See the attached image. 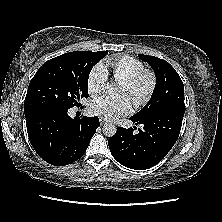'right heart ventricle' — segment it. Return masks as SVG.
Wrapping results in <instances>:
<instances>
[{
    "instance_id": "e07e8e85",
    "label": "right heart ventricle",
    "mask_w": 222,
    "mask_h": 222,
    "mask_svg": "<svg viewBox=\"0 0 222 222\" xmlns=\"http://www.w3.org/2000/svg\"><path fill=\"white\" fill-rule=\"evenodd\" d=\"M105 70H110L115 80L124 82L144 70L143 63L131 56H116L109 58L103 64Z\"/></svg>"
}]
</instances>
